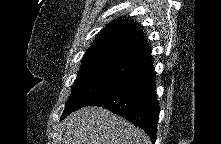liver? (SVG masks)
I'll list each match as a JSON object with an SVG mask.
<instances>
[{
    "label": "liver",
    "instance_id": "obj_1",
    "mask_svg": "<svg viewBox=\"0 0 221 144\" xmlns=\"http://www.w3.org/2000/svg\"><path fill=\"white\" fill-rule=\"evenodd\" d=\"M63 124L64 144H151L140 128L101 107L79 109Z\"/></svg>",
    "mask_w": 221,
    "mask_h": 144
}]
</instances>
